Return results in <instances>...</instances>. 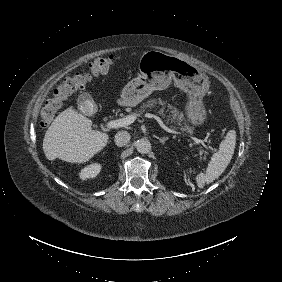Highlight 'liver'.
I'll use <instances>...</instances> for the list:
<instances>
[{"label": "liver", "mask_w": 282, "mask_h": 282, "mask_svg": "<svg viewBox=\"0 0 282 282\" xmlns=\"http://www.w3.org/2000/svg\"><path fill=\"white\" fill-rule=\"evenodd\" d=\"M92 121L71 109L59 114L45 134L43 150L47 158L83 162L101 150L108 136L91 128Z\"/></svg>", "instance_id": "1"}]
</instances>
